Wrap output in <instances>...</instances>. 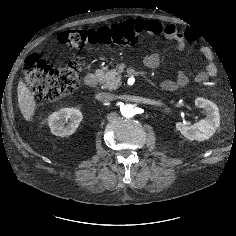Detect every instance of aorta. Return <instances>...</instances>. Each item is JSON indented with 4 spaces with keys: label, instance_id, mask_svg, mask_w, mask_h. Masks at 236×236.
Listing matches in <instances>:
<instances>
[{
    "label": "aorta",
    "instance_id": "aorta-1",
    "mask_svg": "<svg viewBox=\"0 0 236 236\" xmlns=\"http://www.w3.org/2000/svg\"><path fill=\"white\" fill-rule=\"evenodd\" d=\"M120 112L125 118H132L135 115V107L132 104L121 106Z\"/></svg>",
    "mask_w": 236,
    "mask_h": 236
}]
</instances>
